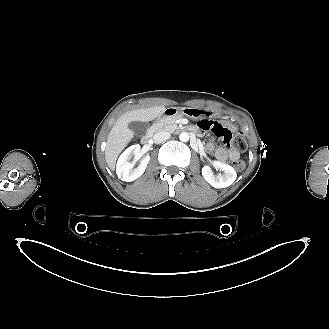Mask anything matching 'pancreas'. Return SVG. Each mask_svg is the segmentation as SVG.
<instances>
[{"label": "pancreas", "instance_id": "obj_1", "mask_svg": "<svg viewBox=\"0 0 329 329\" xmlns=\"http://www.w3.org/2000/svg\"><path fill=\"white\" fill-rule=\"evenodd\" d=\"M182 116H171V117H165L158 119L153 125L156 127L159 131L165 130L169 132L178 131V126L176 124V121L180 119Z\"/></svg>", "mask_w": 329, "mask_h": 329}]
</instances>
